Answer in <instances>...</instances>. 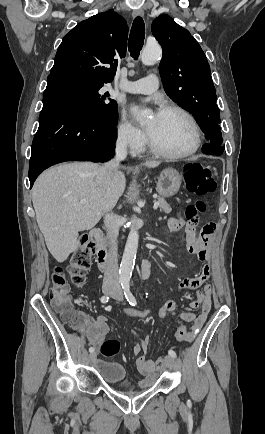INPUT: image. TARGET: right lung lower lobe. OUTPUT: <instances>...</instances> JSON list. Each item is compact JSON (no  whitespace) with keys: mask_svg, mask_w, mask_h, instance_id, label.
<instances>
[{"mask_svg":"<svg viewBox=\"0 0 265 434\" xmlns=\"http://www.w3.org/2000/svg\"><path fill=\"white\" fill-rule=\"evenodd\" d=\"M115 140V126L83 117L62 99H43L39 128L32 142L30 188L42 171L57 163L109 160Z\"/></svg>","mask_w":265,"mask_h":434,"instance_id":"1","label":"right lung lower lobe"}]
</instances>
